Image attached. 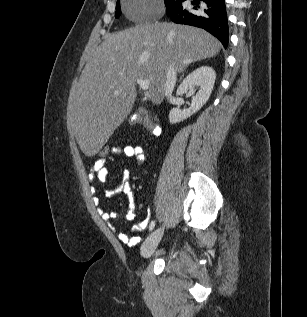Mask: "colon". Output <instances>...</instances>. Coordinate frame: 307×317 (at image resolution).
<instances>
[{"label": "colon", "mask_w": 307, "mask_h": 317, "mask_svg": "<svg viewBox=\"0 0 307 317\" xmlns=\"http://www.w3.org/2000/svg\"><path fill=\"white\" fill-rule=\"evenodd\" d=\"M139 123V121L134 120L133 124ZM118 146L115 145H108L105 144L100 147L98 151V158L97 160L103 161V162H108L110 161L113 156L115 155V150Z\"/></svg>", "instance_id": "5ec220e1"}]
</instances>
